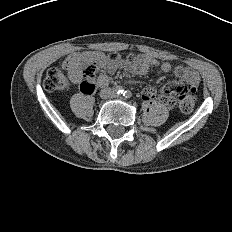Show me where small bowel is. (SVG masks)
I'll list each match as a JSON object with an SVG mask.
<instances>
[{
  "label": "small bowel",
  "instance_id": "c3829d8e",
  "mask_svg": "<svg viewBox=\"0 0 232 232\" xmlns=\"http://www.w3.org/2000/svg\"><path fill=\"white\" fill-rule=\"evenodd\" d=\"M122 67L125 70L137 75L146 74L150 68H159L164 73L172 72L175 75L176 80L169 85H166L163 89V92L170 91L182 84L196 88L200 81V76L196 71L181 66L173 67L168 62H160L156 58L150 57L148 55L139 56L137 63L133 66L123 64ZM65 68L68 70V77L71 82L78 83L81 80V71L76 66L74 60H69L66 62ZM112 70V68L108 69V71ZM108 82L109 78L106 74H102L98 77L97 83L99 86H105L108 84ZM142 97L146 101L153 100L156 97V90L153 88H146L142 92Z\"/></svg>",
  "mask_w": 232,
  "mask_h": 232
}]
</instances>
